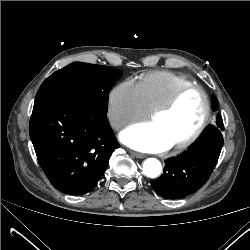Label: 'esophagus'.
I'll return each instance as SVG.
<instances>
[{
  "mask_svg": "<svg viewBox=\"0 0 250 250\" xmlns=\"http://www.w3.org/2000/svg\"><path fill=\"white\" fill-rule=\"evenodd\" d=\"M130 153H131V155L132 156H134V157H136V158H144L145 157V155L144 154H142V153H139V152H136V151H130Z\"/></svg>",
  "mask_w": 250,
  "mask_h": 250,
  "instance_id": "34e87169",
  "label": "esophagus"
}]
</instances>
